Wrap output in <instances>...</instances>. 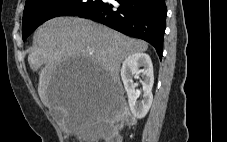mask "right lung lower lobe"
Here are the masks:
<instances>
[{
    "label": "right lung lower lobe",
    "instance_id": "1",
    "mask_svg": "<svg viewBox=\"0 0 227 142\" xmlns=\"http://www.w3.org/2000/svg\"><path fill=\"white\" fill-rule=\"evenodd\" d=\"M103 1L81 12L79 17L92 19L131 37L152 44L160 59L166 27L165 0H115Z\"/></svg>",
    "mask_w": 227,
    "mask_h": 142
}]
</instances>
